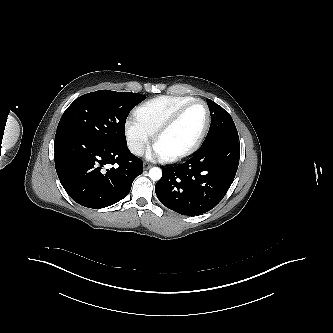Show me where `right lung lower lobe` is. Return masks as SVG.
<instances>
[{
    "mask_svg": "<svg viewBox=\"0 0 333 333\" xmlns=\"http://www.w3.org/2000/svg\"><path fill=\"white\" fill-rule=\"evenodd\" d=\"M55 168L67 194L78 204L99 209L113 205L130 192L143 162L127 144H105L90 138L55 136Z\"/></svg>",
    "mask_w": 333,
    "mask_h": 333,
    "instance_id": "98d812e1",
    "label": "right lung lower lobe"
}]
</instances>
